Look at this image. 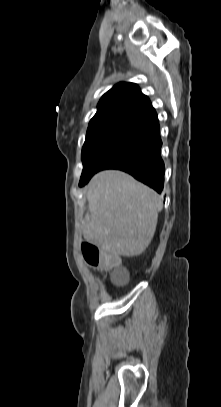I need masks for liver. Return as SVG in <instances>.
I'll use <instances>...</instances> for the list:
<instances>
[{
	"instance_id": "1",
	"label": "liver",
	"mask_w": 221,
	"mask_h": 407,
	"mask_svg": "<svg viewBox=\"0 0 221 407\" xmlns=\"http://www.w3.org/2000/svg\"><path fill=\"white\" fill-rule=\"evenodd\" d=\"M87 199L86 241L112 256L133 257L146 250L162 208L154 190L125 172L106 170L91 179Z\"/></svg>"
}]
</instances>
